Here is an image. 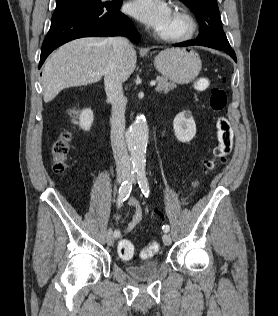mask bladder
I'll return each mask as SVG.
<instances>
[{"label":"bladder","instance_id":"obj_1","mask_svg":"<svg viewBox=\"0 0 278 316\" xmlns=\"http://www.w3.org/2000/svg\"><path fill=\"white\" fill-rule=\"evenodd\" d=\"M160 268V262L156 259L140 264H127L125 270L133 277L145 279L154 276Z\"/></svg>","mask_w":278,"mask_h":316}]
</instances>
